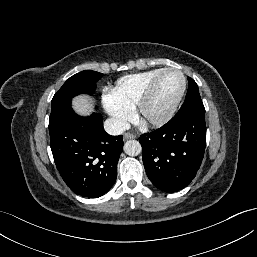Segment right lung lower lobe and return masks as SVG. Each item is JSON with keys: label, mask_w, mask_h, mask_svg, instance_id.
I'll use <instances>...</instances> for the list:
<instances>
[{"label": "right lung lower lobe", "mask_w": 257, "mask_h": 257, "mask_svg": "<svg viewBox=\"0 0 257 257\" xmlns=\"http://www.w3.org/2000/svg\"><path fill=\"white\" fill-rule=\"evenodd\" d=\"M49 133L56 167L74 193L98 198L110 190L123 139L106 133L100 113L83 117L68 109L49 121Z\"/></svg>", "instance_id": "1"}]
</instances>
